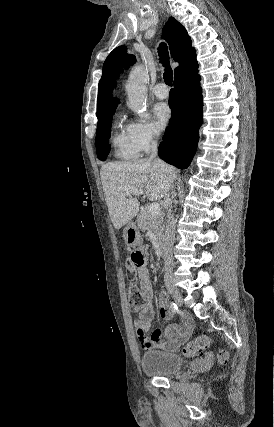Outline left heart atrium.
Returning <instances> with one entry per match:
<instances>
[{"label": "left heart atrium", "mask_w": 274, "mask_h": 427, "mask_svg": "<svg viewBox=\"0 0 274 427\" xmlns=\"http://www.w3.org/2000/svg\"><path fill=\"white\" fill-rule=\"evenodd\" d=\"M172 117L171 108L164 102L157 103L153 108V123L157 130L164 129Z\"/></svg>", "instance_id": "left-heart-atrium-1"}]
</instances>
